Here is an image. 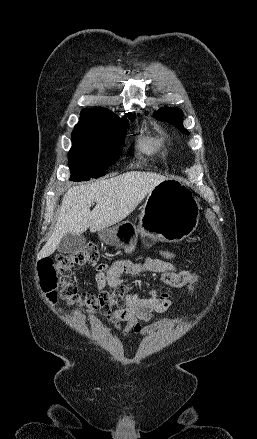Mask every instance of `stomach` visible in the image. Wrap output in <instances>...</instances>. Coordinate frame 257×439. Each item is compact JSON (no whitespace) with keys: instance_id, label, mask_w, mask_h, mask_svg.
<instances>
[{"instance_id":"1","label":"stomach","mask_w":257,"mask_h":439,"mask_svg":"<svg viewBox=\"0 0 257 439\" xmlns=\"http://www.w3.org/2000/svg\"><path fill=\"white\" fill-rule=\"evenodd\" d=\"M200 205L182 182L166 179L148 194L138 217V225L123 221L99 231L106 244L132 253L137 245L138 234L166 242H180L197 227Z\"/></svg>"}]
</instances>
